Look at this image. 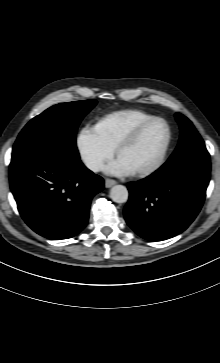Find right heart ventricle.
I'll use <instances>...</instances> for the list:
<instances>
[{
	"instance_id": "e07e8e85",
	"label": "right heart ventricle",
	"mask_w": 220,
	"mask_h": 363,
	"mask_svg": "<svg viewBox=\"0 0 220 363\" xmlns=\"http://www.w3.org/2000/svg\"><path fill=\"white\" fill-rule=\"evenodd\" d=\"M153 117L137 109L118 110L99 118L94 127L102 139L114 148L135 126Z\"/></svg>"
}]
</instances>
